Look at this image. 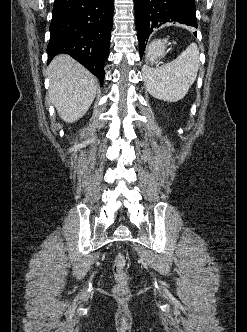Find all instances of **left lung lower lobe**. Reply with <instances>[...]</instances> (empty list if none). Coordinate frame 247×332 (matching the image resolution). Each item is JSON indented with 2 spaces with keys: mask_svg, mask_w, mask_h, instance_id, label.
<instances>
[{
  "mask_svg": "<svg viewBox=\"0 0 247 332\" xmlns=\"http://www.w3.org/2000/svg\"><path fill=\"white\" fill-rule=\"evenodd\" d=\"M140 55L155 29L167 22L197 28L194 0H134Z\"/></svg>",
  "mask_w": 247,
  "mask_h": 332,
  "instance_id": "1",
  "label": "left lung lower lobe"
}]
</instances>
